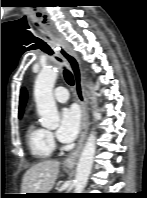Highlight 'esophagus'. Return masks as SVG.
Instances as JSON below:
<instances>
[{"mask_svg": "<svg viewBox=\"0 0 147 198\" xmlns=\"http://www.w3.org/2000/svg\"><path fill=\"white\" fill-rule=\"evenodd\" d=\"M58 49L60 51L61 56L67 61V63L71 68L75 80L76 98L82 109V132L80 139L78 141L76 148L64 160L65 166L73 167L78 160V157L83 148L88 132L89 123H88V114H87V100H86L85 89L83 84L81 65L77 55L65 42H61L58 45Z\"/></svg>", "mask_w": 147, "mask_h": 198, "instance_id": "34e87169", "label": "esophagus"}]
</instances>
